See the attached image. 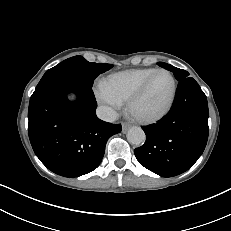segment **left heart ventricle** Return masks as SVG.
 Returning a JSON list of instances; mask_svg holds the SVG:
<instances>
[{
    "instance_id": "obj_1",
    "label": "left heart ventricle",
    "mask_w": 231,
    "mask_h": 231,
    "mask_svg": "<svg viewBox=\"0 0 231 231\" xmlns=\"http://www.w3.org/2000/svg\"><path fill=\"white\" fill-rule=\"evenodd\" d=\"M171 88L170 77L166 74H158L152 81L147 93L137 103L136 112L148 115L159 111L168 101Z\"/></svg>"
}]
</instances>
